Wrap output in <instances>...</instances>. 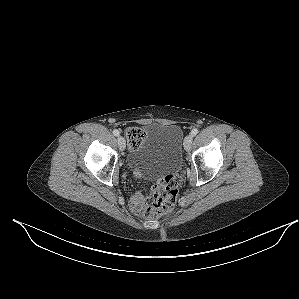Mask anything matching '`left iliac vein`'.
I'll return each mask as SVG.
<instances>
[{"label":"left iliac vein","mask_w":299,"mask_h":299,"mask_svg":"<svg viewBox=\"0 0 299 299\" xmlns=\"http://www.w3.org/2000/svg\"><path fill=\"white\" fill-rule=\"evenodd\" d=\"M193 141V136L192 135H187L184 139V148L189 151L191 148V144Z\"/></svg>","instance_id":"left-iliac-vein-1"}]
</instances>
